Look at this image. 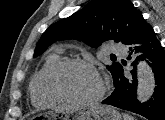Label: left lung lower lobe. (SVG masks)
<instances>
[{
  "instance_id": "left-lung-lower-lobe-1",
  "label": "left lung lower lobe",
  "mask_w": 165,
  "mask_h": 120,
  "mask_svg": "<svg viewBox=\"0 0 165 120\" xmlns=\"http://www.w3.org/2000/svg\"><path fill=\"white\" fill-rule=\"evenodd\" d=\"M125 45L130 51L128 59H131L130 56L133 54H141L137 56L132 65L146 59L152 68L155 74V91L148 102L139 103L136 99L137 77L135 70L130 71L131 76H125L121 65L116 88L102 103L140 114L149 120H165V53L153 28L144 18L140 20L137 29ZM122 64L126 65V62Z\"/></svg>"
}]
</instances>
